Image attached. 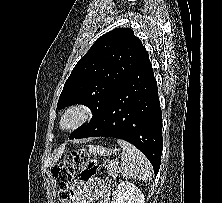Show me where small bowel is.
Masks as SVG:
<instances>
[{
	"instance_id": "obj_1",
	"label": "small bowel",
	"mask_w": 222,
	"mask_h": 203,
	"mask_svg": "<svg viewBox=\"0 0 222 203\" xmlns=\"http://www.w3.org/2000/svg\"><path fill=\"white\" fill-rule=\"evenodd\" d=\"M110 187L99 181L79 182L72 203H109Z\"/></svg>"
}]
</instances>
